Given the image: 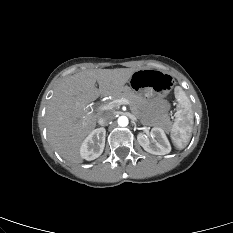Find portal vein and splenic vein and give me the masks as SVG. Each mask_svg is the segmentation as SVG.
I'll return each mask as SVG.
<instances>
[{"label":"portal vein and splenic vein","mask_w":233,"mask_h":233,"mask_svg":"<svg viewBox=\"0 0 233 233\" xmlns=\"http://www.w3.org/2000/svg\"><path fill=\"white\" fill-rule=\"evenodd\" d=\"M128 104H129V101L127 99L121 98V99H117V100H114L112 102H109L107 104H104L103 106H101L99 108V110L100 111L110 110V109H113L114 107H116L118 105H128ZM91 114H92V112L89 115H91ZM87 117H85L84 120H86Z\"/></svg>","instance_id":"18ae733b"}]
</instances>
